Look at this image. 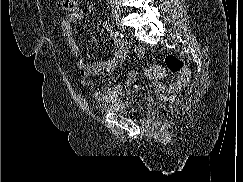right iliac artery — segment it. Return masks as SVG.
Wrapping results in <instances>:
<instances>
[{
	"mask_svg": "<svg viewBox=\"0 0 243 182\" xmlns=\"http://www.w3.org/2000/svg\"><path fill=\"white\" fill-rule=\"evenodd\" d=\"M114 34H115V37L118 39H123V37H124L123 34L120 33L119 31H116Z\"/></svg>",
	"mask_w": 243,
	"mask_h": 182,
	"instance_id": "right-iliac-artery-1",
	"label": "right iliac artery"
}]
</instances>
